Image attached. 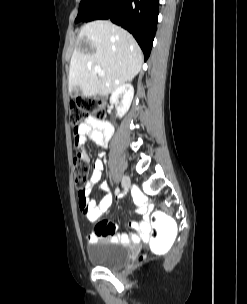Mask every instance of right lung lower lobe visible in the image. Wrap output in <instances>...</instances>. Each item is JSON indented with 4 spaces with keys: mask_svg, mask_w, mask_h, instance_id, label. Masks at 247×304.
Masks as SVG:
<instances>
[{
    "mask_svg": "<svg viewBox=\"0 0 247 304\" xmlns=\"http://www.w3.org/2000/svg\"><path fill=\"white\" fill-rule=\"evenodd\" d=\"M159 0H104L85 20L110 19L128 30L148 59L157 28Z\"/></svg>",
    "mask_w": 247,
    "mask_h": 304,
    "instance_id": "obj_1",
    "label": "right lung lower lobe"
}]
</instances>
